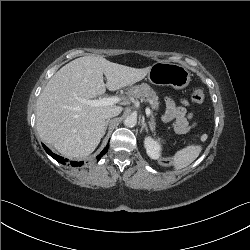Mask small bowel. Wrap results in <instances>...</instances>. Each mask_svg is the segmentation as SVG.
Masks as SVG:
<instances>
[{
  "instance_id": "1",
  "label": "small bowel",
  "mask_w": 250,
  "mask_h": 250,
  "mask_svg": "<svg viewBox=\"0 0 250 250\" xmlns=\"http://www.w3.org/2000/svg\"><path fill=\"white\" fill-rule=\"evenodd\" d=\"M188 103L182 100L177 104L174 99L167 97L165 100V111L163 121L172 122L175 131L179 134L187 133L193 126V114L187 109Z\"/></svg>"
}]
</instances>
